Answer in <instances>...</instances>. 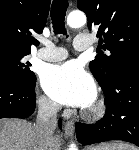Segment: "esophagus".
I'll list each match as a JSON object with an SVG mask.
<instances>
[{
  "instance_id": "esophagus-1",
  "label": "esophagus",
  "mask_w": 139,
  "mask_h": 150,
  "mask_svg": "<svg viewBox=\"0 0 139 150\" xmlns=\"http://www.w3.org/2000/svg\"><path fill=\"white\" fill-rule=\"evenodd\" d=\"M65 135L68 138H72L74 135V121L69 120L65 123Z\"/></svg>"
}]
</instances>
